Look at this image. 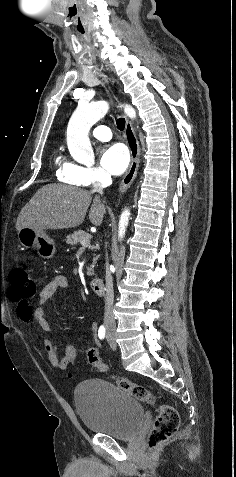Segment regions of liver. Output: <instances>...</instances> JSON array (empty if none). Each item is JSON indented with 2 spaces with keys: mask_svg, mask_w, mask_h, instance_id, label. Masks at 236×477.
Wrapping results in <instances>:
<instances>
[{
  "mask_svg": "<svg viewBox=\"0 0 236 477\" xmlns=\"http://www.w3.org/2000/svg\"><path fill=\"white\" fill-rule=\"evenodd\" d=\"M92 193L74 186L48 184L40 188L22 208L16 221V230L32 228L37 232L77 227L84 221ZM105 207L99 197L93 199L89 220L100 226Z\"/></svg>",
  "mask_w": 236,
  "mask_h": 477,
  "instance_id": "6515ba94",
  "label": "liver"
}]
</instances>
